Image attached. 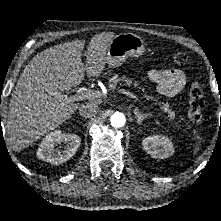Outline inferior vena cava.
<instances>
[{
  "label": "inferior vena cava",
  "instance_id": "inferior-vena-cava-1",
  "mask_svg": "<svg viewBox=\"0 0 221 221\" xmlns=\"http://www.w3.org/2000/svg\"><path fill=\"white\" fill-rule=\"evenodd\" d=\"M99 106L95 102H86L79 107V114L84 118H90L97 114Z\"/></svg>",
  "mask_w": 221,
  "mask_h": 221
}]
</instances>
